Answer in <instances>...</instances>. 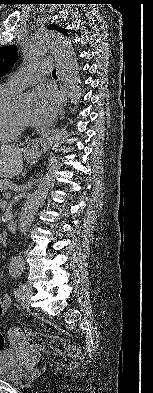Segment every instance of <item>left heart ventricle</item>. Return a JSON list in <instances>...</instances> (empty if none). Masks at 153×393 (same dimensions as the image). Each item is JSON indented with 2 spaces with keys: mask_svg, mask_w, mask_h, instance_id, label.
Segmentation results:
<instances>
[{
  "mask_svg": "<svg viewBox=\"0 0 153 393\" xmlns=\"http://www.w3.org/2000/svg\"><path fill=\"white\" fill-rule=\"evenodd\" d=\"M14 114L18 116L21 120L28 123V119L30 115L29 107L20 108Z\"/></svg>",
  "mask_w": 153,
  "mask_h": 393,
  "instance_id": "b2bd125f",
  "label": "left heart ventricle"
}]
</instances>
